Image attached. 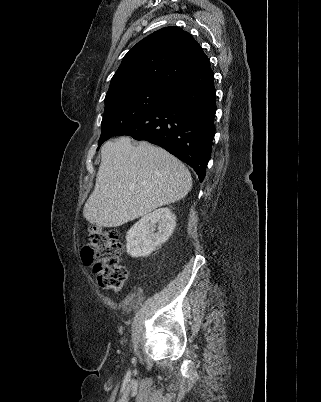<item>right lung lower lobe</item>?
I'll list each match as a JSON object with an SVG mask.
<instances>
[{
	"instance_id": "1",
	"label": "right lung lower lobe",
	"mask_w": 321,
	"mask_h": 402,
	"mask_svg": "<svg viewBox=\"0 0 321 402\" xmlns=\"http://www.w3.org/2000/svg\"><path fill=\"white\" fill-rule=\"evenodd\" d=\"M215 93L209 65L170 85L161 103L116 135L163 147L191 166L202 182L215 134Z\"/></svg>"
}]
</instances>
